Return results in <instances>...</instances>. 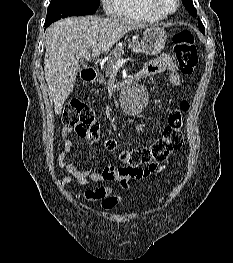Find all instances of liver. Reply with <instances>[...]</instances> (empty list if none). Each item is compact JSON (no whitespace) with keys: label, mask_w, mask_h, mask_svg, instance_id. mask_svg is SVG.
<instances>
[{"label":"liver","mask_w":233,"mask_h":263,"mask_svg":"<svg viewBox=\"0 0 233 263\" xmlns=\"http://www.w3.org/2000/svg\"><path fill=\"white\" fill-rule=\"evenodd\" d=\"M147 26L129 18L68 17L50 25L46 30L44 75L54 111L60 114L72 92L80 63L108 52L126 33ZM85 67V65H84Z\"/></svg>","instance_id":"liver-1"}]
</instances>
